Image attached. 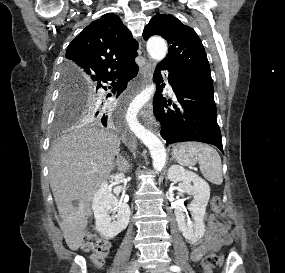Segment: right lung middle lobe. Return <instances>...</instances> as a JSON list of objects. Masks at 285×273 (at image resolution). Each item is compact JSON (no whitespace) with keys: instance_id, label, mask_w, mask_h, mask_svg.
<instances>
[{"instance_id":"right-lung-middle-lobe-1","label":"right lung middle lobe","mask_w":285,"mask_h":273,"mask_svg":"<svg viewBox=\"0 0 285 273\" xmlns=\"http://www.w3.org/2000/svg\"><path fill=\"white\" fill-rule=\"evenodd\" d=\"M102 110L103 101L94 85L86 84L63 71L57 108V127H63L73 120H99Z\"/></svg>"}]
</instances>
